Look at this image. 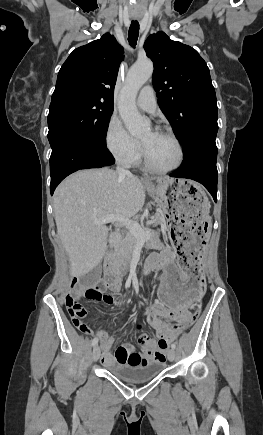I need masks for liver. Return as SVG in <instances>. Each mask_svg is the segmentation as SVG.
Returning <instances> with one entry per match:
<instances>
[{"label":"liver","instance_id":"liver-1","mask_svg":"<svg viewBox=\"0 0 263 435\" xmlns=\"http://www.w3.org/2000/svg\"><path fill=\"white\" fill-rule=\"evenodd\" d=\"M170 178H157L162 182ZM145 202L142 182L133 175L119 176L108 168L78 171L57 187L53 209L57 232L70 260V274L81 277L93 270L121 236L105 224H94L109 215L135 216Z\"/></svg>","mask_w":263,"mask_h":435}]
</instances>
